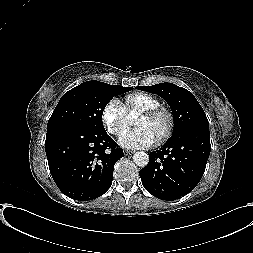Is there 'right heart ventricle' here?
I'll list each match as a JSON object with an SVG mask.
<instances>
[{
  "label": "right heart ventricle",
  "instance_id": "1",
  "mask_svg": "<svg viewBox=\"0 0 253 253\" xmlns=\"http://www.w3.org/2000/svg\"><path fill=\"white\" fill-rule=\"evenodd\" d=\"M157 106H160V100L146 92H135L127 95L124 99V107L129 117Z\"/></svg>",
  "mask_w": 253,
  "mask_h": 253
}]
</instances>
